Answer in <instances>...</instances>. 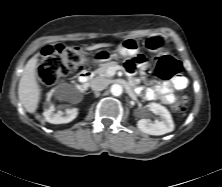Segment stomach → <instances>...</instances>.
<instances>
[{"mask_svg": "<svg viewBox=\"0 0 222 187\" xmlns=\"http://www.w3.org/2000/svg\"><path fill=\"white\" fill-rule=\"evenodd\" d=\"M166 38L161 34H152L147 37L145 45L150 51H159L163 49ZM140 42L132 37L125 38L114 51L100 50L96 54V59L105 61L112 58L131 57L138 53Z\"/></svg>", "mask_w": 222, "mask_h": 187, "instance_id": "obj_1", "label": "stomach"}]
</instances>
